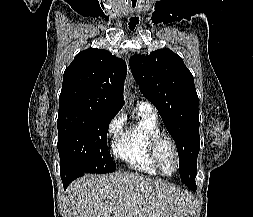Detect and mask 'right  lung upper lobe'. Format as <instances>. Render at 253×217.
<instances>
[{"instance_id":"1","label":"right lung upper lobe","mask_w":253,"mask_h":217,"mask_svg":"<svg viewBox=\"0 0 253 217\" xmlns=\"http://www.w3.org/2000/svg\"><path fill=\"white\" fill-rule=\"evenodd\" d=\"M126 74V63L109 51H81L64 72L59 109L79 107L118 113Z\"/></svg>"}]
</instances>
